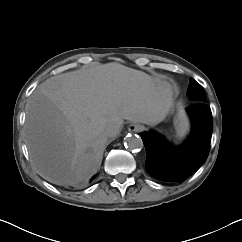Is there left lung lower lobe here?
Returning a JSON list of instances; mask_svg holds the SVG:
<instances>
[{
	"label": "left lung lower lobe",
	"instance_id": "0a47b994",
	"mask_svg": "<svg viewBox=\"0 0 242 242\" xmlns=\"http://www.w3.org/2000/svg\"><path fill=\"white\" fill-rule=\"evenodd\" d=\"M192 132L183 146L173 147L161 135L150 131L141 135L146 149L145 167L154 178L182 182L207 159L212 135V113L204 102L187 107Z\"/></svg>",
	"mask_w": 242,
	"mask_h": 242
}]
</instances>
